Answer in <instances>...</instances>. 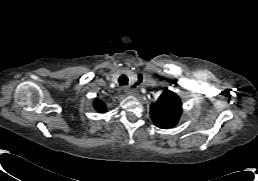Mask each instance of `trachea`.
<instances>
[{"label":"trachea","mask_w":258,"mask_h":181,"mask_svg":"<svg viewBox=\"0 0 258 181\" xmlns=\"http://www.w3.org/2000/svg\"><path fill=\"white\" fill-rule=\"evenodd\" d=\"M119 84L122 85H127L128 84V78L126 75H122L119 77Z\"/></svg>","instance_id":"3493384b"}]
</instances>
